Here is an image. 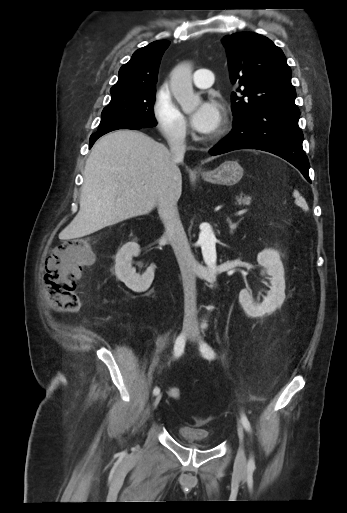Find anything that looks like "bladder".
Listing matches in <instances>:
<instances>
[{
	"label": "bladder",
	"mask_w": 347,
	"mask_h": 513,
	"mask_svg": "<svg viewBox=\"0 0 347 513\" xmlns=\"http://www.w3.org/2000/svg\"><path fill=\"white\" fill-rule=\"evenodd\" d=\"M179 437L181 441L191 447L201 450H212L218 443L210 437V433L205 428H196L186 425L179 428Z\"/></svg>",
	"instance_id": "1"
}]
</instances>
